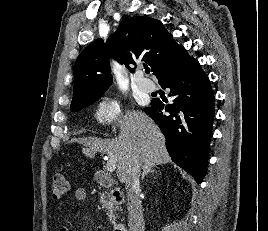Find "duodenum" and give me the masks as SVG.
<instances>
[{
	"mask_svg": "<svg viewBox=\"0 0 268 231\" xmlns=\"http://www.w3.org/2000/svg\"><path fill=\"white\" fill-rule=\"evenodd\" d=\"M95 180L102 186L113 188V198L115 201L124 200V193L121 189L114 187V180L103 170H99L95 173ZM114 231H126V226L122 222H117L114 227Z\"/></svg>",
	"mask_w": 268,
	"mask_h": 231,
	"instance_id": "duodenum-1",
	"label": "duodenum"
}]
</instances>
